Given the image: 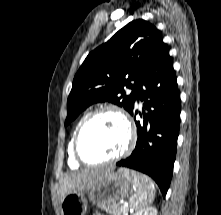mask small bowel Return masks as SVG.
Returning <instances> with one entry per match:
<instances>
[{"instance_id": "1", "label": "small bowel", "mask_w": 221, "mask_h": 215, "mask_svg": "<svg viewBox=\"0 0 221 215\" xmlns=\"http://www.w3.org/2000/svg\"><path fill=\"white\" fill-rule=\"evenodd\" d=\"M94 215H101V214L97 213V214H94Z\"/></svg>"}]
</instances>
